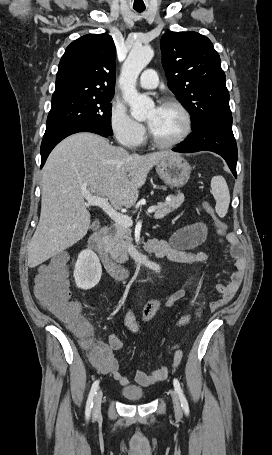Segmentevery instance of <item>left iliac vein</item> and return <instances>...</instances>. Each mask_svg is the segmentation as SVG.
<instances>
[{"label": "left iliac vein", "instance_id": "4c4485c4", "mask_svg": "<svg viewBox=\"0 0 272 455\" xmlns=\"http://www.w3.org/2000/svg\"><path fill=\"white\" fill-rule=\"evenodd\" d=\"M171 395H172L174 408L178 413H180L182 409H181L179 396L175 390L171 391Z\"/></svg>", "mask_w": 272, "mask_h": 455}]
</instances>
